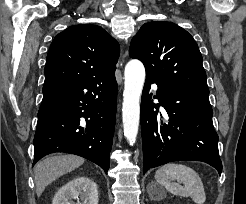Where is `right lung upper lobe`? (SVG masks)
Wrapping results in <instances>:
<instances>
[{"label":"right lung upper lobe","mask_w":246,"mask_h":204,"mask_svg":"<svg viewBox=\"0 0 246 204\" xmlns=\"http://www.w3.org/2000/svg\"><path fill=\"white\" fill-rule=\"evenodd\" d=\"M119 44L102 27L73 25L51 43L45 66L44 86L115 74Z\"/></svg>","instance_id":"obj_1"}]
</instances>
